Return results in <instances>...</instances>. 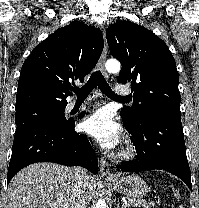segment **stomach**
I'll return each mask as SVG.
<instances>
[{
  "label": "stomach",
  "instance_id": "0dacf381",
  "mask_svg": "<svg viewBox=\"0 0 199 208\" xmlns=\"http://www.w3.org/2000/svg\"><path fill=\"white\" fill-rule=\"evenodd\" d=\"M111 185L117 192L131 199H141L146 196L149 191L146 182L137 175L120 177L113 181Z\"/></svg>",
  "mask_w": 199,
  "mask_h": 208
}]
</instances>
